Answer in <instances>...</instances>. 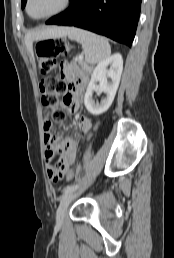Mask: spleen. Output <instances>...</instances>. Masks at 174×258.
<instances>
[{
    "label": "spleen",
    "mask_w": 174,
    "mask_h": 258,
    "mask_svg": "<svg viewBox=\"0 0 174 258\" xmlns=\"http://www.w3.org/2000/svg\"><path fill=\"white\" fill-rule=\"evenodd\" d=\"M67 35L70 40L82 44L85 60L89 64L99 63L111 54L110 44L105 37L75 27L68 28Z\"/></svg>",
    "instance_id": "spleen-1"
}]
</instances>
